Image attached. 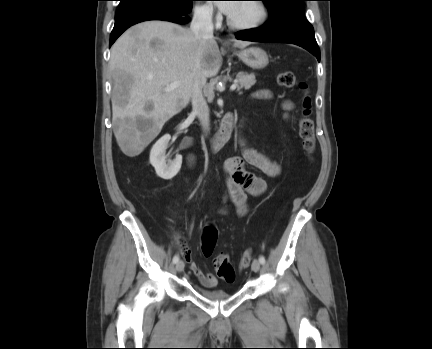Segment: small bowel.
I'll return each instance as SVG.
<instances>
[{
    "label": "small bowel",
    "instance_id": "c3829d8e",
    "mask_svg": "<svg viewBox=\"0 0 432 349\" xmlns=\"http://www.w3.org/2000/svg\"><path fill=\"white\" fill-rule=\"evenodd\" d=\"M255 97L260 99L271 98L268 90H260L255 93ZM283 108L286 112L293 108L289 101L284 102ZM242 148L241 157H232L225 161L224 172L226 174L227 197L234 204L238 215L243 216L247 212V196H261L267 190L266 181L256 174L248 171L246 165H251L270 177H277L281 173L280 165L268 158L256 149L250 147L244 139H239ZM192 162V158L190 159ZM183 257L190 262V268L198 278L203 287H214L218 279L212 273H204L199 265L192 261V253L187 248H182Z\"/></svg>",
    "mask_w": 432,
    "mask_h": 349
}]
</instances>
